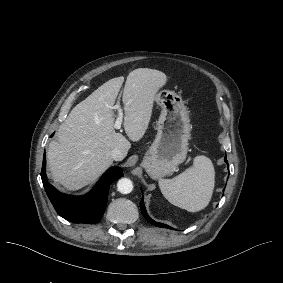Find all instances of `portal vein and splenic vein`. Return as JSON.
<instances>
[{
    "mask_svg": "<svg viewBox=\"0 0 283 283\" xmlns=\"http://www.w3.org/2000/svg\"><path fill=\"white\" fill-rule=\"evenodd\" d=\"M113 127H114L115 130H118V129L121 128V120H120V118H118V119L115 121Z\"/></svg>",
    "mask_w": 283,
    "mask_h": 283,
    "instance_id": "portal-vein-and-splenic-vein-1",
    "label": "portal vein and splenic vein"
}]
</instances>
